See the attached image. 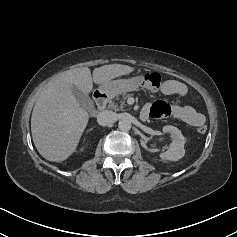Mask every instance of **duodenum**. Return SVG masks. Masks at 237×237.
<instances>
[{
    "instance_id": "duodenum-1",
    "label": "duodenum",
    "mask_w": 237,
    "mask_h": 237,
    "mask_svg": "<svg viewBox=\"0 0 237 237\" xmlns=\"http://www.w3.org/2000/svg\"><path fill=\"white\" fill-rule=\"evenodd\" d=\"M93 97L97 108L100 110L104 109L108 101L106 93L103 91H96Z\"/></svg>"
}]
</instances>
